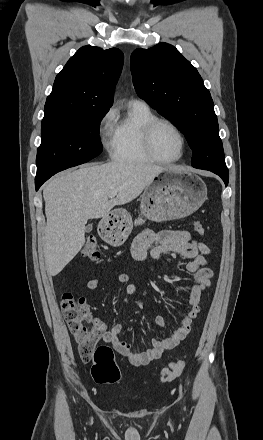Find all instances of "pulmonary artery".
<instances>
[{"instance_id":"pulmonary-artery-1","label":"pulmonary artery","mask_w":263,"mask_h":440,"mask_svg":"<svg viewBox=\"0 0 263 440\" xmlns=\"http://www.w3.org/2000/svg\"><path fill=\"white\" fill-rule=\"evenodd\" d=\"M131 104H138V105H147L145 101L140 100V99H132L130 101Z\"/></svg>"}]
</instances>
